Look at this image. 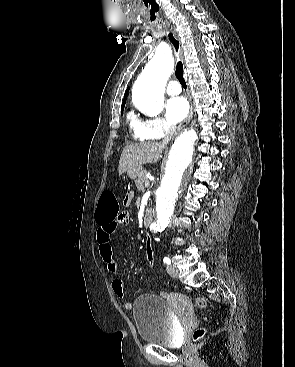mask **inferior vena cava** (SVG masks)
<instances>
[{
  "label": "inferior vena cava",
  "mask_w": 295,
  "mask_h": 367,
  "mask_svg": "<svg viewBox=\"0 0 295 367\" xmlns=\"http://www.w3.org/2000/svg\"><path fill=\"white\" fill-rule=\"evenodd\" d=\"M175 131H176L175 126L170 125V126L167 127V129L165 131L166 135L163 139V144H167L171 140V138L174 135Z\"/></svg>",
  "instance_id": "1"
}]
</instances>
